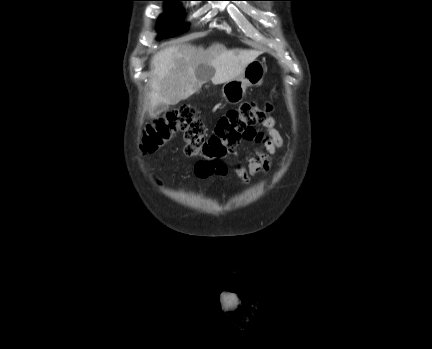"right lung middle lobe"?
<instances>
[{
  "label": "right lung middle lobe",
  "mask_w": 432,
  "mask_h": 349,
  "mask_svg": "<svg viewBox=\"0 0 432 349\" xmlns=\"http://www.w3.org/2000/svg\"><path fill=\"white\" fill-rule=\"evenodd\" d=\"M166 2L167 13L159 18L157 29L165 37H173L189 30L188 25L180 24V6L178 1L182 0H162Z\"/></svg>",
  "instance_id": "dd1d6c3e"
}]
</instances>
